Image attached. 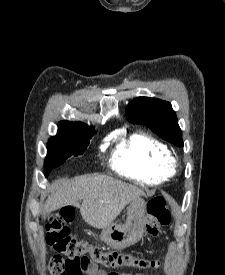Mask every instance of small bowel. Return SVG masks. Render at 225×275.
<instances>
[{"label":"small bowel","instance_id":"small-bowel-1","mask_svg":"<svg viewBox=\"0 0 225 275\" xmlns=\"http://www.w3.org/2000/svg\"><path fill=\"white\" fill-rule=\"evenodd\" d=\"M117 274V273H116ZM94 275H109V272H107L105 269H100L98 270ZM117 275H132V274H129V273H119ZM135 275H144L142 273H137Z\"/></svg>","mask_w":225,"mask_h":275}]
</instances>
